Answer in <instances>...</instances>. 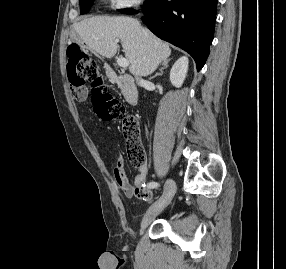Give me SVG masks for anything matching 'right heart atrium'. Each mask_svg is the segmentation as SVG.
I'll list each match as a JSON object with an SVG mask.
<instances>
[{
	"label": "right heart atrium",
	"mask_w": 286,
	"mask_h": 269,
	"mask_svg": "<svg viewBox=\"0 0 286 269\" xmlns=\"http://www.w3.org/2000/svg\"><path fill=\"white\" fill-rule=\"evenodd\" d=\"M110 6L113 9H125L130 7H136L140 5L144 0H108Z\"/></svg>",
	"instance_id": "obj_1"
}]
</instances>
